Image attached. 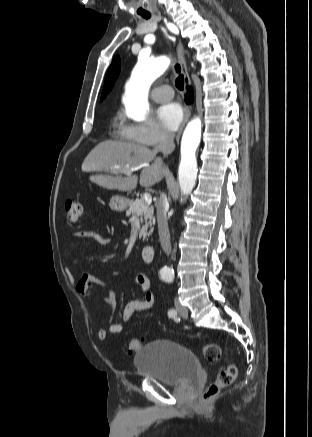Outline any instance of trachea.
<instances>
[{
	"instance_id": "3493384b",
	"label": "trachea",
	"mask_w": 312,
	"mask_h": 437,
	"mask_svg": "<svg viewBox=\"0 0 312 437\" xmlns=\"http://www.w3.org/2000/svg\"><path fill=\"white\" fill-rule=\"evenodd\" d=\"M143 17H144L145 19H149V18L151 17V15H150V14H146V15H143ZM175 70H176V72L179 74V76L177 77V79H176V81H175L176 87H177L179 90H183V86H184V76H183L182 74H180V66H179V64H176V65H175Z\"/></svg>"
}]
</instances>
